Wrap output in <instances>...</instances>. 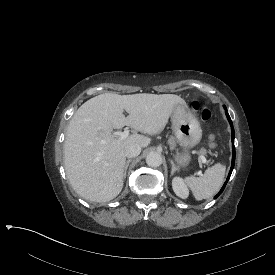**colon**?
I'll list each match as a JSON object with an SVG mask.
<instances>
[{
  "mask_svg": "<svg viewBox=\"0 0 275 275\" xmlns=\"http://www.w3.org/2000/svg\"><path fill=\"white\" fill-rule=\"evenodd\" d=\"M193 107L196 109V110H201V116H202V119L205 120V121H210L213 117V112L210 110V109H207V108H202L201 107V104L196 101L194 104H193ZM216 147V142H215V139H212L211 140V148H215Z\"/></svg>",
  "mask_w": 275,
  "mask_h": 275,
  "instance_id": "1",
  "label": "colon"
}]
</instances>
